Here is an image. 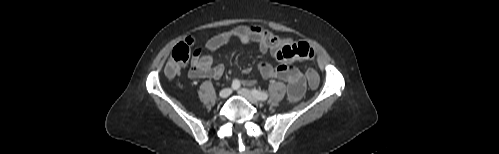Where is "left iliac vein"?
Wrapping results in <instances>:
<instances>
[{
    "mask_svg": "<svg viewBox=\"0 0 499 154\" xmlns=\"http://www.w3.org/2000/svg\"><path fill=\"white\" fill-rule=\"evenodd\" d=\"M238 94L242 97H244L245 99H247L250 103L252 104H258L259 103V99H257L253 93L251 91H249L248 89L246 88H241L238 90Z\"/></svg>",
    "mask_w": 499,
    "mask_h": 154,
    "instance_id": "left-iliac-vein-1",
    "label": "left iliac vein"
}]
</instances>
